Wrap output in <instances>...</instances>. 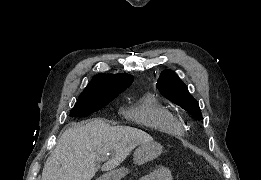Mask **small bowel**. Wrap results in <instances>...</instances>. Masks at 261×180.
Wrapping results in <instances>:
<instances>
[{"label":"small bowel","mask_w":261,"mask_h":180,"mask_svg":"<svg viewBox=\"0 0 261 180\" xmlns=\"http://www.w3.org/2000/svg\"><path fill=\"white\" fill-rule=\"evenodd\" d=\"M150 180H171L172 175L170 171L164 166H158L148 176Z\"/></svg>","instance_id":"obj_1"}]
</instances>
